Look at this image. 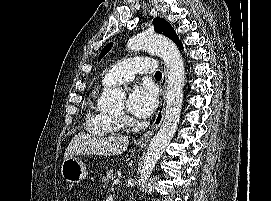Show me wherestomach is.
<instances>
[{
	"mask_svg": "<svg viewBox=\"0 0 271 201\" xmlns=\"http://www.w3.org/2000/svg\"><path fill=\"white\" fill-rule=\"evenodd\" d=\"M61 174L66 182L74 184L84 180L87 177L88 172L82 160L79 157L74 156L63 161Z\"/></svg>",
	"mask_w": 271,
	"mask_h": 201,
	"instance_id": "0dacf381",
	"label": "stomach"
}]
</instances>
